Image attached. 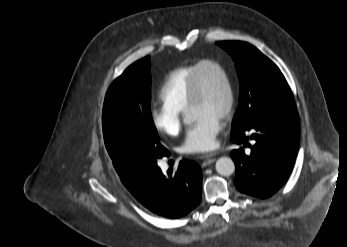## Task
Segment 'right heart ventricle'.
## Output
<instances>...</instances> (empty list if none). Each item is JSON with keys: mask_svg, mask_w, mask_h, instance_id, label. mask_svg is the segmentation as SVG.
<instances>
[{"mask_svg": "<svg viewBox=\"0 0 347 247\" xmlns=\"http://www.w3.org/2000/svg\"><path fill=\"white\" fill-rule=\"evenodd\" d=\"M197 64L178 67L166 76L159 91L164 105L179 112L187 110L189 88Z\"/></svg>", "mask_w": 347, "mask_h": 247, "instance_id": "1", "label": "right heart ventricle"}]
</instances>
